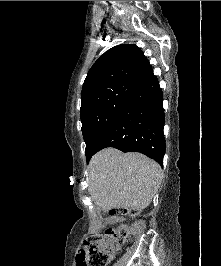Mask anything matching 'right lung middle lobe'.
I'll return each instance as SVG.
<instances>
[{
  "instance_id": "dd1d6c3e",
  "label": "right lung middle lobe",
  "mask_w": 221,
  "mask_h": 266,
  "mask_svg": "<svg viewBox=\"0 0 221 266\" xmlns=\"http://www.w3.org/2000/svg\"><path fill=\"white\" fill-rule=\"evenodd\" d=\"M138 89L134 85H119L95 90L81 99L80 116L87 159Z\"/></svg>"
}]
</instances>
